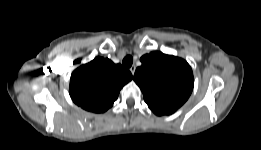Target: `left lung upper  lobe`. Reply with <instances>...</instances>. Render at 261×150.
Returning <instances> with one entry per match:
<instances>
[{
	"label": "left lung upper lobe",
	"instance_id": "obj_1",
	"mask_svg": "<svg viewBox=\"0 0 261 150\" xmlns=\"http://www.w3.org/2000/svg\"><path fill=\"white\" fill-rule=\"evenodd\" d=\"M134 81L156 115L175 112L189 98L194 85L190 65L176 56L151 52L141 57Z\"/></svg>",
	"mask_w": 261,
	"mask_h": 150
}]
</instances>
